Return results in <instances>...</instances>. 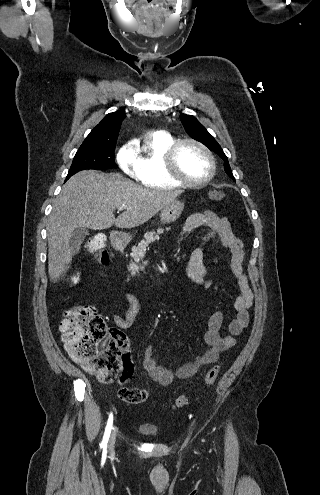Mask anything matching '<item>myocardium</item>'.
<instances>
[{
	"label": "myocardium",
	"mask_w": 320,
	"mask_h": 495,
	"mask_svg": "<svg viewBox=\"0 0 320 495\" xmlns=\"http://www.w3.org/2000/svg\"><path fill=\"white\" fill-rule=\"evenodd\" d=\"M186 144H191L196 146L206 155L210 163V170L206 177L202 179L192 180L185 177L181 173L178 167L177 157L180 149ZM164 165L168 175L185 186H199V185L207 184L213 179L216 173V161L211 150L200 141L192 138H185L175 141L165 152Z\"/></svg>",
	"instance_id": "obj_1"
}]
</instances>
